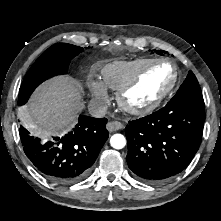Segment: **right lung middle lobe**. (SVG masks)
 Returning <instances> with one entry per match:
<instances>
[{
    "mask_svg": "<svg viewBox=\"0 0 221 221\" xmlns=\"http://www.w3.org/2000/svg\"><path fill=\"white\" fill-rule=\"evenodd\" d=\"M82 51L83 48L67 43H58L49 47L25 75L19 90L18 105L25 104L34 89L43 81L65 74L70 60Z\"/></svg>",
    "mask_w": 221,
    "mask_h": 221,
    "instance_id": "right-lung-middle-lobe-1",
    "label": "right lung middle lobe"
}]
</instances>
